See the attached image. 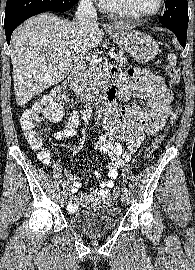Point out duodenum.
Returning <instances> with one entry per match:
<instances>
[{
  "label": "duodenum",
  "instance_id": "obj_1",
  "mask_svg": "<svg viewBox=\"0 0 195 270\" xmlns=\"http://www.w3.org/2000/svg\"><path fill=\"white\" fill-rule=\"evenodd\" d=\"M70 82L74 92L81 101L96 99L102 105L109 107H112L117 102L116 87L111 83L107 84L98 96H95L93 91L83 82L81 78V68L79 66L72 71Z\"/></svg>",
  "mask_w": 195,
  "mask_h": 270
}]
</instances>
